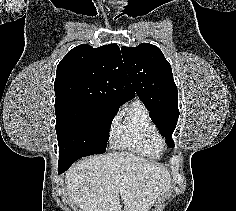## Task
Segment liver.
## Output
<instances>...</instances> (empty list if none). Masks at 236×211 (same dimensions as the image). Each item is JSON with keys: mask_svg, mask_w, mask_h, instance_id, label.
Masks as SVG:
<instances>
[{"mask_svg": "<svg viewBox=\"0 0 236 211\" xmlns=\"http://www.w3.org/2000/svg\"><path fill=\"white\" fill-rule=\"evenodd\" d=\"M66 189L80 211H149L170 189L169 171L129 152L86 158L65 174Z\"/></svg>", "mask_w": 236, "mask_h": 211, "instance_id": "obj_1", "label": "liver"}]
</instances>
